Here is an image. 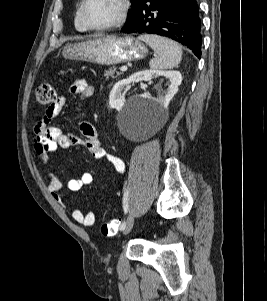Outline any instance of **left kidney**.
<instances>
[{
  "label": "left kidney",
  "mask_w": 267,
  "mask_h": 301,
  "mask_svg": "<svg viewBox=\"0 0 267 301\" xmlns=\"http://www.w3.org/2000/svg\"><path fill=\"white\" fill-rule=\"evenodd\" d=\"M154 77H165L169 80L168 89L165 91L164 96H159L153 100L161 108H166L177 93L178 87L182 82V75L179 71L145 70L134 73L128 79L118 81L113 86L109 95L110 108L117 111L123 108L125 99L122 96V90L125 86L133 82L151 81Z\"/></svg>",
  "instance_id": "left-kidney-1"
}]
</instances>
